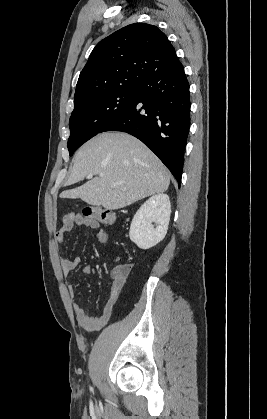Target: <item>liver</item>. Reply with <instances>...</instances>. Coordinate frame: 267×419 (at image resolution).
<instances>
[{"label":"liver","instance_id":"liver-1","mask_svg":"<svg viewBox=\"0 0 267 419\" xmlns=\"http://www.w3.org/2000/svg\"><path fill=\"white\" fill-rule=\"evenodd\" d=\"M88 175L95 177L60 197L116 210L161 194L170 184V173L157 156L140 140L122 132H104L85 143L74 157L66 185Z\"/></svg>","mask_w":267,"mask_h":419}]
</instances>
